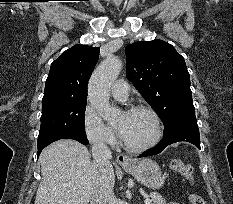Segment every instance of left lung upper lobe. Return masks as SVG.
Masks as SVG:
<instances>
[{
  "mask_svg": "<svg viewBox=\"0 0 233 204\" xmlns=\"http://www.w3.org/2000/svg\"><path fill=\"white\" fill-rule=\"evenodd\" d=\"M127 78L162 119L164 136L182 127H198L184 58L162 40L126 47Z\"/></svg>",
  "mask_w": 233,
  "mask_h": 204,
  "instance_id": "1",
  "label": "left lung upper lobe"
}]
</instances>
